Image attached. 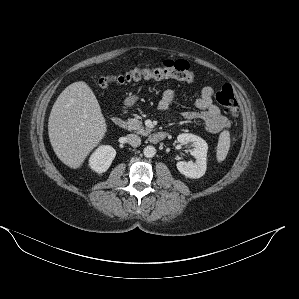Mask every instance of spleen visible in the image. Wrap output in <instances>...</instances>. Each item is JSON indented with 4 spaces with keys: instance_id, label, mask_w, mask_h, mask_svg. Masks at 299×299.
<instances>
[{
    "instance_id": "obj_1",
    "label": "spleen",
    "mask_w": 299,
    "mask_h": 299,
    "mask_svg": "<svg viewBox=\"0 0 299 299\" xmlns=\"http://www.w3.org/2000/svg\"><path fill=\"white\" fill-rule=\"evenodd\" d=\"M230 148V134L229 131L221 132L216 149V158L218 162L224 161Z\"/></svg>"
}]
</instances>
